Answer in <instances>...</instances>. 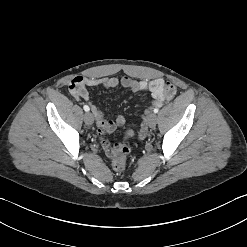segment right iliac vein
<instances>
[{"instance_id": "63e3f726", "label": "right iliac vein", "mask_w": 247, "mask_h": 247, "mask_svg": "<svg viewBox=\"0 0 247 247\" xmlns=\"http://www.w3.org/2000/svg\"><path fill=\"white\" fill-rule=\"evenodd\" d=\"M84 121L87 125H92L94 122V117L93 114L91 112H87L84 115Z\"/></svg>"}]
</instances>
